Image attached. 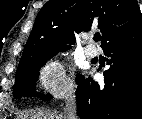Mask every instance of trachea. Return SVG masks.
<instances>
[{
  "instance_id": "1",
  "label": "trachea",
  "mask_w": 142,
  "mask_h": 119,
  "mask_svg": "<svg viewBox=\"0 0 142 119\" xmlns=\"http://www.w3.org/2000/svg\"><path fill=\"white\" fill-rule=\"evenodd\" d=\"M94 41H100L101 40V35L100 34H95V36H94Z\"/></svg>"
}]
</instances>
